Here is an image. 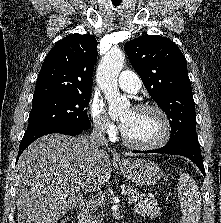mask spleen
<instances>
[{
	"label": "spleen",
	"instance_id": "obj_1",
	"mask_svg": "<svg viewBox=\"0 0 221 223\" xmlns=\"http://www.w3.org/2000/svg\"><path fill=\"white\" fill-rule=\"evenodd\" d=\"M178 198L183 214L181 223H199L201 196L196 182L187 173L180 176Z\"/></svg>",
	"mask_w": 221,
	"mask_h": 223
}]
</instances>
